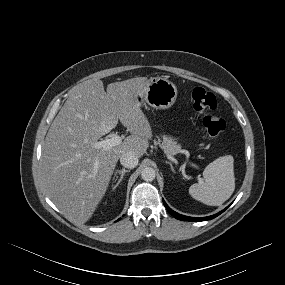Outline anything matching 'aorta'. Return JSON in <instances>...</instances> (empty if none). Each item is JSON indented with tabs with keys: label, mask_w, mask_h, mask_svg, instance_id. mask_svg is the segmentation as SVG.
<instances>
[{
	"label": "aorta",
	"mask_w": 285,
	"mask_h": 285,
	"mask_svg": "<svg viewBox=\"0 0 285 285\" xmlns=\"http://www.w3.org/2000/svg\"><path fill=\"white\" fill-rule=\"evenodd\" d=\"M141 177L144 181L151 182L156 177V172L152 167H145L141 172Z\"/></svg>",
	"instance_id": "aorta-1"
}]
</instances>
